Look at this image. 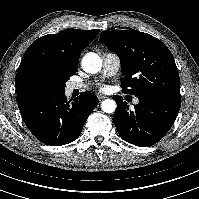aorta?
<instances>
[{
    "label": "aorta",
    "mask_w": 199,
    "mask_h": 199,
    "mask_svg": "<svg viewBox=\"0 0 199 199\" xmlns=\"http://www.w3.org/2000/svg\"><path fill=\"white\" fill-rule=\"evenodd\" d=\"M82 68L85 72L95 74L102 68V60L96 53H87L82 59ZM116 102L113 99H106L101 103V109L105 113H114Z\"/></svg>",
    "instance_id": "762f6f07"
}]
</instances>
